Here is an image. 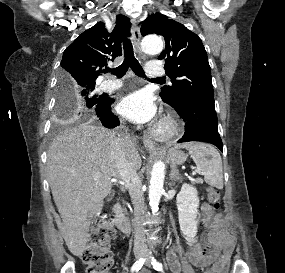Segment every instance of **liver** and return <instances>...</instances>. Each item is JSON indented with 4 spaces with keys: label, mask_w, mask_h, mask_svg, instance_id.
<instances>
[{
    "label": "liver",
    "mask_w": 285,
    "mask_h": 273,
    "mask_svg": "<svg viewBox=\"0 0 285 273\" xmlns=\"http://www.w3.org/2000/svg\"><path fill=\"white\" fill-rule=\"evenodd\" d=\"M116 139L106 128L84 123L66 129L49 147L48 180L63 221V238L75 256L85 251L91 219L101 212L104 198L120 177L113 156ZM123 144L134 169H140L135 143L123 139Z\"/></svg>",
    "instance_id": "obj_1"
}]
</instances>
